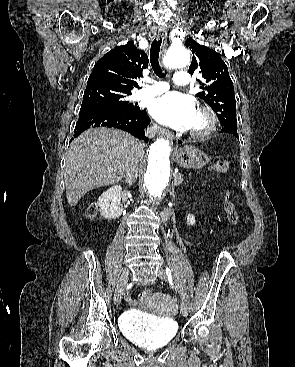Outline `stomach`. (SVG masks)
<instances>
[{"label":"stomach","instance_id":"1","mask_svg":"<svg viewBox=\"0 0 295 367\" xmlns=\"http://www.w3.org/2000/svg\"><path fill=\"white\" fill-rule=\"evenodd\" d=\"M173 159L180 167L186 169H201L209 161V157L194 146H184L176 150Z\"/></svg>","mask_w":295,"mask_h":367}]
</instances>
